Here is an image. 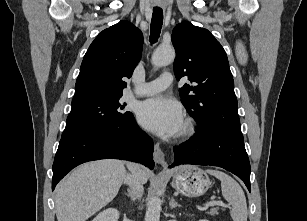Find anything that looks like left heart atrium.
<instances>
[{
	"label": "left heart atrium",
	"mask_w": 307,
	"mask_h": 221,
	"mask_svg": "<svg viewBox=\"0 0 307 221\" xmlns=\"http://www.w3.org/2000/svg\"><path fill=\"white\" fill-rule=\"evenodd\" d=\"M137 117L144 128L162 137L179 134L184 124L180 105L163 96L142 102L138 107Z\"/></svg>",
	"instance_id": "obj_1"
}]
</instances>
